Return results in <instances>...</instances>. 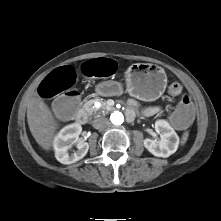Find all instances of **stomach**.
<instances>
[{
  "label": "stomach",
  "mask_w": 221,
  "mask_h": 221,
  "mask_svg": "<svg viewBox=\"0 0 221 221\" xmlns=\"http://www.w3.org/2000/svg\"><path fill=\"white\" fill-rule=\"evenodd\" d=\"M166 85L164 69L155 64H132L125 72L126 92L142 101L157 100L165 91Z\"/></svg>",
  "instance_id": "obj_1"
}]
</instances>
